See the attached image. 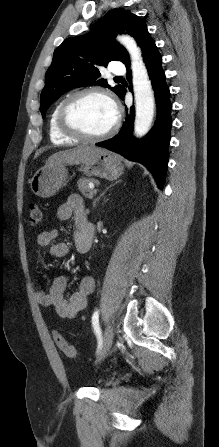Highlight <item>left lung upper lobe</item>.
Segmentation results:
<instances>
[{"label":"left lung upper lobe","instance_id":"left-lung-upper-lobe-1","mask_svg":"<svg viewBox=\"0 0 219 447\" xmlns=\"http://www.w3.org/2000/svg\"><path fill=\"white\" fill-rule=\"evenodd\" d=\"M124 32L133 36L138 45L149 35L142 18L127 10L113 9L89 33L66 39L54 51L40 97L43 118L58 97L77 87L100 85L121 97L124 88L121 85L112 88L106 79H100L99 67H106L112 60L124 64L129 61L125 48L112 40L116 34Z\"/></svg>","mask_w":219,"mask_h":447}]
</instances>
